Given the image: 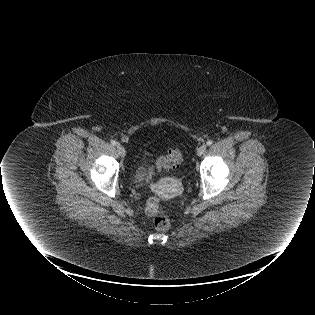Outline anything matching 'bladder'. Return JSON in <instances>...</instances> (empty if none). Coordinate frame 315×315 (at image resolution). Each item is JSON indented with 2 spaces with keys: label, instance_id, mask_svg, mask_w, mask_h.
Segmentation results:
<instances>
[{
  "label": "bladder",
  "instance_id": "31cf9c89",
  "mask_svg": "<svg viewBox=\"0 0 315 315\" xmlns=\"http://www.w3.org/2000/svg\"><path fill=\"white\" fill-rule=\"evenodd\" d=\"M153 176V170L149 162H141L133 173V182L136 184L148 183Z\"/></svg>",
  "mask_w": 315,
  "mask_h": 315
}]
</instances>
